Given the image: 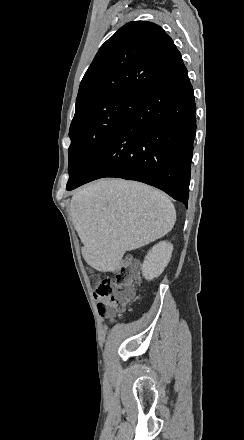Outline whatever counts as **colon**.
<instances>
[{
    "label": "colon",
    "instance_id": "colon-1",
    "mask_svg": "<svg viewBox=\"0 0 244 440\" xmlns=\"http://www.w3.org/2000/svg\"><path fill=\"white\" fill-rule=\"evenodd\" d=\"M114 278L89 275V284H97L94 298L105 317H115L123 313L134 297V288L140 282L138 262L122 261L113 271ZM100 281V282H99Z\"/></svg>",
    "mask_w": 244,
    "mask_h": 440
}]
</instances>
